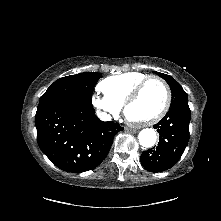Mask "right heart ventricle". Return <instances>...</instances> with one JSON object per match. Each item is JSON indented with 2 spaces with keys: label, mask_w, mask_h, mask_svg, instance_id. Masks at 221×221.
I'll return each instance as SVG.
<instances>
[{
  "label": "right heart ventricle",
  "mask_w": 221,
  "mask_h": 221,
  "mask_svg": "<svg viewBox=\"0 0 221 221\" xmlns=\"http://www.w3.org/2000/svg\"><path fill=\"white\" fill-rule=\"evenodd\" d=\"M146 77L141 72H126L102 80L98 89L111 101L122 106L132 90Z\"/></svg>",
  "instance_id": "1"
}]
</instances>
